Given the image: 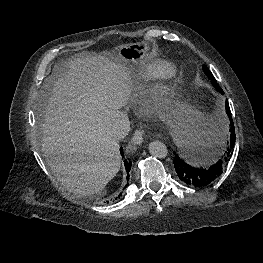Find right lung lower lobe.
Returning a JSON list of instances; mask_svg holds the SVG:
<instances>
[{"label": "right lung lower lobe", "mask_w": 263, "mask_h": 263, "mask_svg": "<svg viewBox=\"0 0 263 263\" xmlns=\"http://www.w3.org/2000/svg\"><path fill=\"white\" fill-rule=\"evenodd\" d=\"M121 155L124 158V153H123V149H120ZM124 164H125V168H126V172H127V179L129 178V171L131 169V165L132 163L130 161L124 160Z\"/></svg>", "instance_id": "obj_1"}]
</instances>
